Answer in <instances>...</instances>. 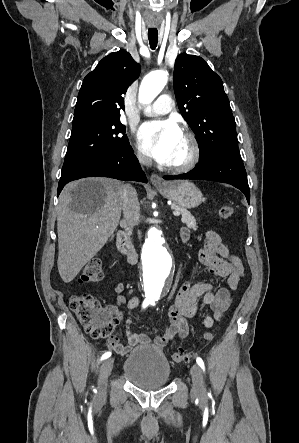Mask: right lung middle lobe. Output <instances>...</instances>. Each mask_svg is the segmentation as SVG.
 Wrapping results in <instances>:
<instances>
[{"instance_id": "obj_1", "label": "right lung middle lobe", "mask_w": 299, "mask_h": 443, "mask_svg": "<svg viewBox=\"0 0 299 443\" xmlns=\"http://www.w3.org/2000/svg\"><path fill=\"white\" fill-rule=\"evenodd\" d=\"M130 147L120 117L73 123L61 176L98 158L123 153Z\"/></svg>"}]
</instances>
